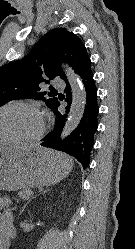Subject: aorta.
Here are the masks:
<instances>
[{
  "mask_svg": "<svg viewBox=\"0 0 135 249\" xmlns=\"http://www.w3.org/2000/svg\"><path fill=\"white\" fill-rule=\"evenodd\" d=\"M67 79L72 89V104L69 117L63 128L61 139H65L78 126L85 107L86 92L79 77L71 68H67Z\"/></svg>",
  "mask_w": 135,
  "mask_h": 249,
  "instance_id": "1",
  "label": "aorta"
}]
</instances>
